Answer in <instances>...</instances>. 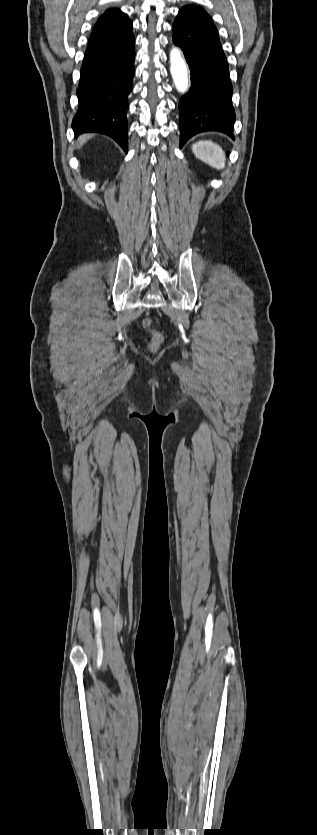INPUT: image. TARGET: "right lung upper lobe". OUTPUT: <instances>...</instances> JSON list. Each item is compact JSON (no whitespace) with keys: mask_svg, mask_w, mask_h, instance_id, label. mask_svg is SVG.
Returning <instances> with one entry per match:
<instances>
[{"mask_svg":"<svg viewBox=\"0 0 317 835\" xmlns=\"http://www.w3.org/2000/svg\"><path fill=\"white\" fill-rule=\"evenodd\" d=\"M95 34L108 42H117L132 34V22L119 9H109L96 22Z\"/></svg>","mask_w":317,"mask_h":835,"instance_id":"obj_1","label":"right lung upper lobe"}]
</instances>
